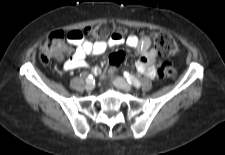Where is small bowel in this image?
Masks as SVG:
<instances>
[{
  "instance_id": "obj_1",
  "label": "small bowel",
  "mask_w": 225,
  "mask_h": 155,
  "mask_svg": "<svg viewBox=\"0 0 225 155\" xmlns=\"http://www.w3.org/2000/svg\"><path fill=\"white\" fill-rule=\"evenodd\" d=\"M67 40L71 44H74L75 47L71 58L64 64L65 70L86 68L88 66L85 60L86 56L102 54L111 47L125 43L128 47L135 49L139 54L136 61L138 71L149 78H153L156 75L152 64L157 59L158 53L157 50L151 46V40L148 36L138 37L135 34H130L126 37L114 36L106 41L91 42L86 40V35L83 31L71 29L67 33ZM92 71L98 74L100 69L94 66L92 67Z\"/></svg>"
}]
</instances>
